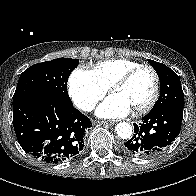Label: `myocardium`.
Returning a JSON list of instances; mask_svg holds the SVG:
<instances>
[{"label": "myocardium", "instance_id": "myocardium-1", "mask_svg": "<svg viewBox=\"0 0 196 196\" xmlns=\"http://www.w3.org/2000/svg\"><path fill=\"white\" fill-rule=\"evenodd\" d=\"M142 70H149L153 74L154 90H153V93L150 99L147 101L146 104L133 110V113L136 115L143 114V113L150 111L158 100V97L160 94L161 80H160V76L157 70L150 65H139L127 71L126 73H124L117 80H115L109 87V93L112 94L114 91L124 87L136 74H138Z\"/></svg>", "mask_w": 196, "mask_h": 196}]
</instances>
